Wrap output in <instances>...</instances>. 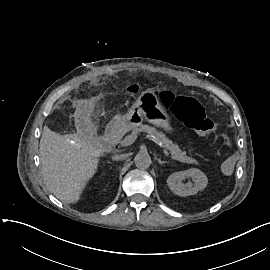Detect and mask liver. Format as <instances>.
<instances>
[{"label":"liver","mask_w":270,"mask_h":270,"mask_svg":"<svg viewBox=\"0 0 270 270\" xmlns=\"http://www.w3.org/2000/svg\"><path fill=\"white\" fill-rule=\"evenodd\" d=\"M44 126L40 140L42 175L49 191L66 204L81 201L98 171L102 151Z\"/></svg>","instance_id":"obj_1"}]
</instances>
